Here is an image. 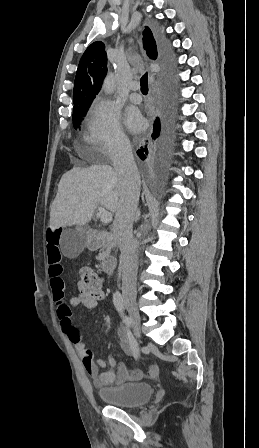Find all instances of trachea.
<instances>
[{
  "instance_id": "trachea-1",
  "label": "trachea",
  "mask_w": 259,
  "mask_h": 448,
  "mask_svg": "<svg viewBox=\"0 0 259 448\" xmlns=\"http://www.w3.org/2000/svg\"><path fill=\"white\" fill-rule=\"evenodd\" d=\"M140 84H141V92L143 94H147L148 93V74L147 73H145L141 77Z\"/></svg>"
}]
</instances>
